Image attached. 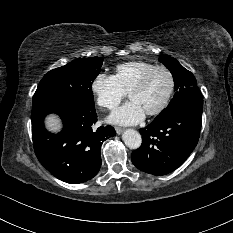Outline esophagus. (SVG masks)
<instances>
[{
	"label": "esophagus",
	"instance_id": "obj_1",
	"mask_svg": "<svg viewBox=\"0 0 233 233\" xmlns=\"http://www.w3.org/2000/svg\"><path fill=\"white\" fill-rule=\"evenodd\" d=\"M115 130H116V133L118 134V135H120L122 132H123V128H121V127H115Z\"/></svg>",
	"mask_w": 233,
	"mask_h": 233
}]
</instances>
